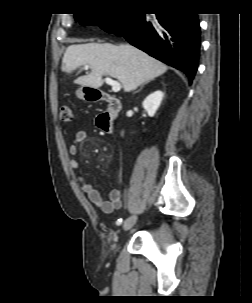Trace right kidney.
<instances>
[{
    "instance_id": "ca27d5eb",
    "label": "right kidney",
    "mask_w": 252,
    "mask_h": 303,
    "mask_svg": "<svg viewBox=\"0 0 252 303\" xmlns=\"http://www.w3.org/2000/svg\"><path fill=\"white\" fill-rule=\"evenodd\" d=\"M164 93L160 90L155 91L148 95L143 101L142 105L145 111L150 117H153L159 108L161 101L163 99Z\"/></svg>"
}]
</instances>
